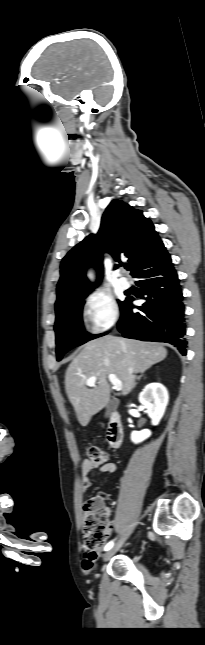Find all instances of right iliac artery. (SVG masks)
Wrapping results in <instances>:
<instances>
[{
	"label": "right iliac artery",
	"instance_id": "obj_1",
	"mask_svg": "<svg viewBox=\"0 0 205 645\" xmlns=\"http://www.w3.org/2000/svg\"><path fill=\"white\" fill-rule=\"evenodd\" d=\"M112 547H113V541L109 542V543L105 546V548H104V549H105V551H107V550L111 549Z\"/></svg>",
	"mask_w": 205,
	"mask_h": 645
}]
</instances>
